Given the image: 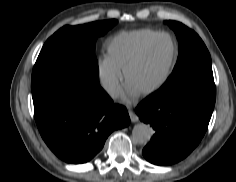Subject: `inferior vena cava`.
Masks as SVG:
<instances>
[{
  "label": "inferior vena cava",
  "mask_w": 236,
  "mask_h": 182,
  "mask_svg": "<svg viewBox=\"0 0 236 182\" xmlns=\"http://www.w3.org/2000/svg\"><path fill=\"white\" fill-rule=\"evenodd\" d=\"M102 87L107 91V93L111 97H113V98L118 97L119 92H120V85L117 81L103 80L102 81Z\"/></svg>",
  "instance_id": "1"
}]
</instances>
